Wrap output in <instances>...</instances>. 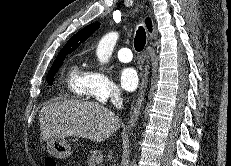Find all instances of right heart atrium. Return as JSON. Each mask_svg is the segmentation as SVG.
I'll return each instance as SVG.
<instances>
[{
  "instance_id": "d8ad5b80",
  "label": "right heart atrium",
  "mask_w": 231,
  "mask_h": 166,
  "mask_svg": "<svg viewBox=\"0 0 231 166\" xmlns=\"http://www.w3.org/2000/svg\"><path fill=\"white\" fill-rule=\"evenodd\" d=\"M87 94L92 99L105 102L108 99H119L120 92L106 71L94 66L87 74Z\"/></svg>"
}]
</instances>
